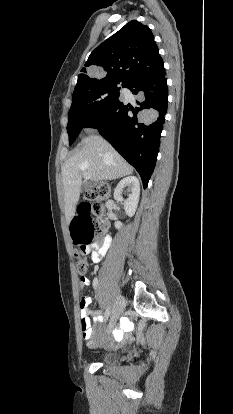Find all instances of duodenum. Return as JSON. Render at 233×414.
<instances>
[{"instance_id": "obj_1", "label": "duodenum", "mask_w": 233, "mask_h": 414, "mask_svg": "<svg viewBox=\"0 0 233 414\" xmlns=\"http://www.w3.org/2000/svg\"><path fill=\"white\" fill-rule=\"evenodd\" d=\"M83 201L85 202L86 200L84 199ZM90 201L92 202L93 200L91 199Z\"/></svg>"}]
</instances>
